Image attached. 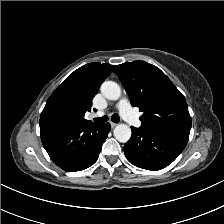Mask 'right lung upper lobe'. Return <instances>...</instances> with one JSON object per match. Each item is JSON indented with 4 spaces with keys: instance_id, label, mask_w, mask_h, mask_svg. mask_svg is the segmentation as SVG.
Returning a JSON list of instances; mask_svg holds the SVG:
<instances>
[{
    "instance_id": "obj_1",
    "label": "right lung upper lobe",
    "mask_w": 224,
    "mask_h": 224,
    "mask_svg": "<svg viewBox=\"0 0 224 224\" xmlns=\"http://www.w3.org/2000/svg\"><path fill=\"white\" fill-rule=\"evenodd\" d=\"M113 68V65L107 63H89L75 70L51 94L42 113L51 105L59 103L67 109L69 122L93 124L84 118L85 112L91 109L93 97Z\"/></svg>"
}]
</instances>
